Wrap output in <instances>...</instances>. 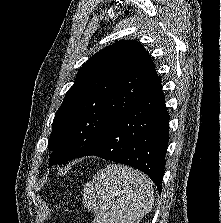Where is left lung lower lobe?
Masks as SVG:
<instances>
[{
	"mask_svg": "<svg viewBox=\"0 0 221 223\" xmlns=\"http://www.w3.org/2000/svg\"><path fill=\"white\" fill-rule=\"evenodd\" d=\"M169 114L161 78L76 158L94 155L146 173L159 192L169 141Z\"/></svg>",
	"mask_w": 221,
	"mask_h": 223,
	"instance_id": "obj_1",
	"label": "left lung lower lobe"
}]
</instances>
